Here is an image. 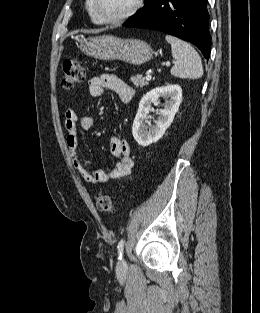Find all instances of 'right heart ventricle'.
Segmentation results:
<instances>
[{"label":"right heart ventricle","instance_id":"1","mask_svg":"<svg viewBox=\"0 0 260 313\" xmlns=\"http://www.w3.org/2000/svg\"><path fill=\"white\" fill-rule=\"evenodd\" d=\"M85 8L86 11L91 19V21L95 24H101V22L98 20V18L96 17L93 8H92V0H86L85 1Z\"/></svg>","mask_w":260,"mask_h":313}]
</instances>
